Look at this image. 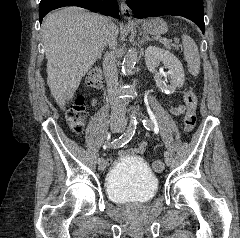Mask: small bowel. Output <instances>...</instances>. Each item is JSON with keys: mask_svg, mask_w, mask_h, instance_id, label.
<instances>
[{"mask_svg": "<svg viewBox=\"0 0 240 238\" xmlns=\"http://www.w3.org/2000/svg\"><path fill=\"white\" fill-rule=\"evenodd\" d=\"M170 112L175 115V116H179V115H183L184 113L187 112V108L184 105H177L171 108ZM146 148H151V143H143L140 144L139 147L134 150V149H115L114 153L115 154H147L148 150ZM106 166H113V162H114V157H106ZM102 175L106 174L105 170L101 171Z\"/></svg>", "mask_w": 240, "mask_h": 238, "instance_id": "obj_1", "label": "small bowel"}]
</instances>
